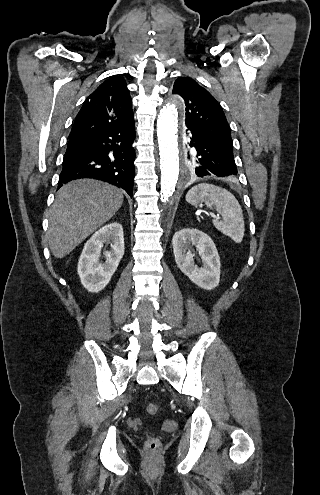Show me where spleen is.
Returning a JSON list of instances; mask_svg holds the SVG:
<instances>
[{
  "label": "spleen",
  "mask_w": 320,
  "mask_h": 495,
  "mask_svg": "<svg viewBox=\"0 0 320 495\" xmlns=\"http://www.w3.org/2000/svg\"><path fill=\"white\" fill-rule=\"evenodd\" d=\"M186 201L191 205L202 202L209 209H215L222 217V221L213 220V225L235 243L243 240L245 225L241 206L235 196L228 190L208 183H201L192 187L186 194Z\"/></svg>",
  "instance_id": "spleen-1"
}]
</instances>
